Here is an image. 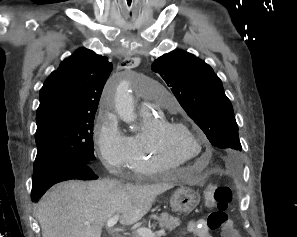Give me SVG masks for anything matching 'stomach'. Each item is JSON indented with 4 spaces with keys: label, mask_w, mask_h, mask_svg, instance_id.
<instances>
[{
    "label": "stomach",
    "mask_w": 297,
    "mask_h": 237,
    "mask_svg": "<svg viewBox=\"0 0 297 237\" xmlns=\"http://www.w3.org/2000/svg\"><path fill=\"white\" fill-rule=\"evenodd\" d=\"M200 202V196L192 189L181 187L170 198L171 208L180 213L189 214Z\"/></svg>",
    "instance_id": "0dacf381"
}]
</instances>
